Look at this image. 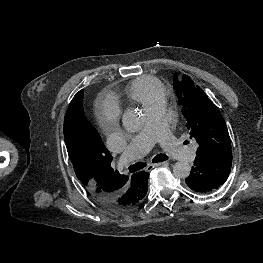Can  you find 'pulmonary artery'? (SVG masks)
Masks as SVG:
<instances>
[{"instance_id": "e3ab8cb5", "label": "pulmonary artery", "mask_w": 263, "mask_h": 263, "mask_svg": "<svg viewBox=\"0 0 263 263\" xmlns=\"http://www.w3.org/2000/svg\"><path fill=\"white\" fill-rule=\"evenodd\" d=\"M144 128L132 139L123 152L119 164L121 166L137 160L147 154L154 144L161 147L172 157L191 162L196 156V147L181 145L168 127L165 116V102L160 100L146 109Z\"/></svg>"}]
</instances>
